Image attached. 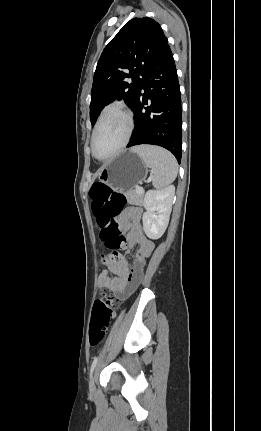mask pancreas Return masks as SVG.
I'll use <instances>...</instances> for the list:
<instances>
[{"instance_id": "cf45deb5", "label": "pancreas", "mask_w": 261, "mask_h": 431, "mask_svg": "<svg viewBox=\"0 0 261 431\" xmlns=\"http://www.w3.org/2000/svg\"><path fill=\"white\" fill-rule=\"evenodd\" d=\"M125 195H126V198H127V201L129 204L138 205V206L143 205L144 191L138 193L137 189L130 190V191L126 192Z\"/></svg>"}]
</instances>
